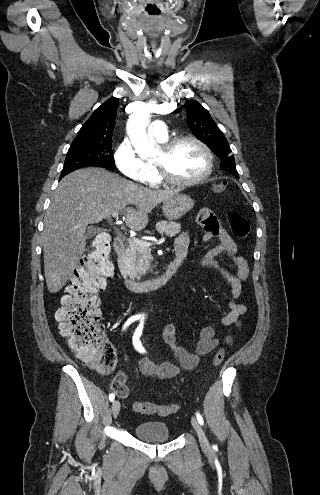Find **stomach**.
I'll use <instances>...</instances> for the list:
<instances>
[{
	"mask_svg": "<svg viewBox=\"0 0 320 495\" xmlns=\"http://www.w3.org/2000/svg\"><path fill=\"white\" fill-rule=\"evenodd\" d=\"M194 206V201L188 196L176 193L163 201L162 209L169 220H177L189 212Z\"/></svg>",
	"mask_w": 320,
	"mask_h": 495,
	"instance_id": "1",
	"label": "stomach"
}]
</instances>
